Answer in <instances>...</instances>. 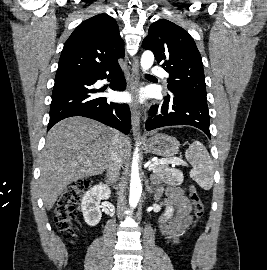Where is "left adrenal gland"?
I'll list each match as a JSON object with an SVG mask.
<instances>
[{
    "instance_id": "1",
    "label": "left adrenal gland",
    "mask_w": 267,
    "mask_h": 270,
    "mask_svg": "<svg viewBox=\"0 0 267 270\" xmlns=\"http://www.w3.org/2000/svg\"><path fill=\"white\" fill-rule=\"evenodd\" d=\"M146 188L150 193H152V187L149 186V180L148 179H146Z\"/></svg>"
}]
</instances>
